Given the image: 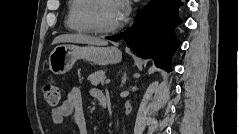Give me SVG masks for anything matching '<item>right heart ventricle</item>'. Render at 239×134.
Here are the masks:
<instances>
[{
	"label": "right heart ventricle",
	"instance_id": "1",
	"mask_svg": "<svg viewBox=\"0 0 239 134\" xmlns=\"http://www.w3.org/2000/svg\"><path fill=\"white\" fill-rule=\"evenodd\" d=\"M90 0H72L69 3L66 25L74 32L85 34L91 29L85 20V11Z\"/></svg>",
	"mask_w": 239,
	"mask_h": 134
}]
</instances>
